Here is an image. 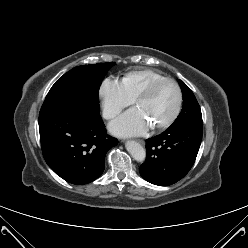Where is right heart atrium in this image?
Returning <instances> with one entry per match:
<instances>
[{"instance_id": "1", "label": "right heart atrium", "mask_w": 248, "mask_h": 248, "mask_svg": "<svg viewBox=\"0 0 248 248\" xmlns=\"http://www.w3.org/2000/svg\"><path fill=\"white\" fill-rule=\"evenodd\" d=\"M99 96L102 102L103 115L108 120L115 118L133 102L122 83L113 78H106L102 82Z\"/></svg>"}]
</instances>
